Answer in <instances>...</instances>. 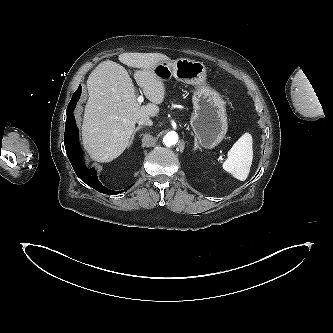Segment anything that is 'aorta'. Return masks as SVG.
Listing matches in <instances>:
<instances>
[{"label":"aorta","instance_id":"762f6f07","mask_svg":"<svg viewBox=\"0 0 333 333\" xmlns=\"http://www.w3.org/2000/svg\"><path fill=\"white\" fill-rule=\"evenodd\" d=\"M163 142L167 147H171L178 142V135L176 132H169L167 133L164 138Z\"/></svg>","mask_w":333,"mask_h":333}]
</instances>
